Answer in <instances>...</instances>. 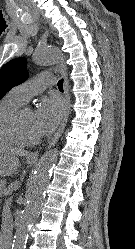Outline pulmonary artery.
<instances>
[{
  "mask_svg": "<svg viewBox=\"0 0 135 249\" xmlns=\"http://www.w3.org/2000/svg\"><path fill=\"white\" fill-rule=\"evenodd\" d=\"M55 85V78L48 73H40L12 89V93L21 101L26 102L31 97Z\"/></svg>",
  "mask_w": 135,
  "mask_h": 249,
  "instance_id": "e3ab8cb5",
  "label": "pulmonary artery"
}]
</instances>
